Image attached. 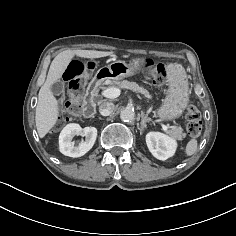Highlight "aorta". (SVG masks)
<instances>
[{
	"mask_svg": "<svg viewBox=\"0 0 236 236\" xmlns=\"http://www.w3.org/2000/svg\"><path fill=\"white\" fill-rule=\"evenodd\" d=\"M135 118L134 110L131 108H125L120 113V119L124 122H131Z\"/></svg>",
	"mask_w": 236,
	"mask_h": 236,
	"instance_id": "obj_1",
	"label": "aorta"
}]
</instances>
